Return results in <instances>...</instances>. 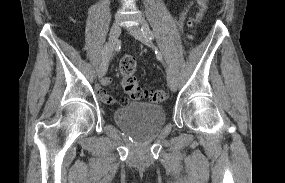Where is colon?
Instances as JSON below:
<instances>
[{"mask_svg": "<svg viewBox=\"0 0 285 183\" xmlns=\"http://www.w3.org/2000/svg\"><path fill=\"white\" fill-rule=\"evenodd\" d=\"M209 0H198V6L189 16L188 24L190 27H195L206 12V6ZM137 69L136 59L132 56H126L122 58L119 66L120 74L122 76V87L130 98L135 100L148 99L153 103H160L166 100L167 93L164 90L155 89L149 90L142 88L136 77L135 72ZM113 102H116L114 99ZM125 99L118 101L120 104H124Z\"/></svg>", "mask_w": 285, "mask_h": 183, "instance_id": "colon-1", "label": "colon"}]
</instances>
